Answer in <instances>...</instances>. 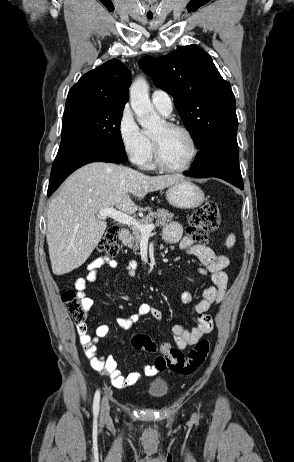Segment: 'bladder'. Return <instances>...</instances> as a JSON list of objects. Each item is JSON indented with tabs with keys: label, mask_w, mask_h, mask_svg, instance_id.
Segmentation results:
<instances>
[{
	"label": "bladder",
	"mask_w": 294,
	"mask_h": 462,
	"mask_svg": "<svg viewBox=\"0 0 294 462\" xmlns=\"http://www.w3.org/2000/svg\"><path fill=\"white\" fill-rule=\"evenodd\" d=\"M169 383L166 379L153 380L147 389V394L153 398H162L169 392Z\"/></svg>",
	"instance_id": "obj_1"
}]
</instances>
